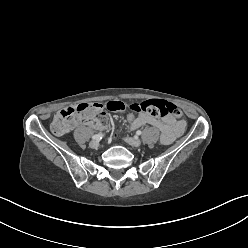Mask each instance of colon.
<instances>
[{
  "label": "colon",
  "mask_w": 248,
  "mask_h": 248,
  "mask_svg": "<svg viewBox=\"0 0 248 248\" xmlns=\"http://www.w3.org/2000/svg\"><path fill=\"white\" fill-rule=\"evenodd\" d=\"M107 109L111 111H124L126 108L134 112L144 113L153 117H163L173 115L182 117L181 110L174 104L162 100H146L142 102H132L128 105L122 102H110ZM135 119L133 112H128L125 123L130 125ZM84 121L93 124L103 132L111 127V119L100 103H82L70 106L57 112L52 120L51 129L56 135H63L76 123Z\"/></svg>",
  "instance_id": "1"
}]
</instances>
